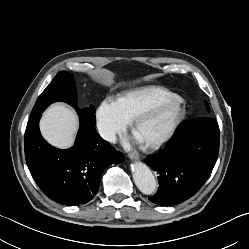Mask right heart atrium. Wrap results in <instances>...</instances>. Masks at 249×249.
I'll return each mask as SVG.
<instances>
[{"label": "right heart atrium", "instance_id": "obj_1", "mask_svg": "<svg viewBox=\"0 0 249 249\" xmlns=\"http://www.w3.org/2000/svg\"><path fill=\"white\" fill-rule=\"evenodd\" d=\"M130 121L122 113L117 100L106 98L96 111L97 129L108 142H114L116 138L124 133Z\"/></svg>", "mask_w": 249, "mask_h": 249}]
</instances>
